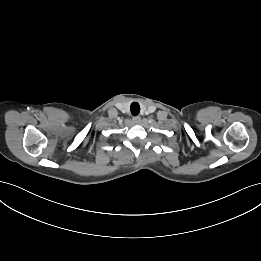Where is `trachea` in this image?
<instances>
[{"instance_id": "trachea-1", "label": "trachea", "mask_w": 261, "mask_h": 261, "mask_svg": "<svg viewBox=\"0 0 261 261\" xmlns=\"http://www.w3.org/2000/svg\"><path fill=\"white\" fill-rule=\"evenodd\" d=\"M131 114L137 116L140 112V106L137 102H133L130 106Z\"/></svg>"}]
</instances>
